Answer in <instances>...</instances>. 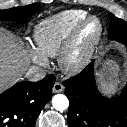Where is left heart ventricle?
<instances>
[{
  "label": "left heart ventricle",
  "mask_w": 127,
  "mask_h": 127,
  "mask_svg": "<svg viewBox=\"0 0 127 127\" xmlns=\"http://www.w3.org/2000/svg\"><path fill=\"white\" fill-rule=\"evenodd\" d=\"M97 30L98 24L96 21H91L86 25L81 34L80 43L78 45V53L83 50L85 44L95 35Z\"/></svg>",
  "instance_id": "obj_1"
}]
</instances>
